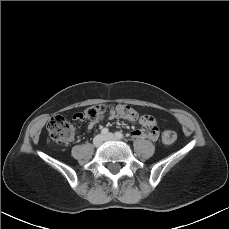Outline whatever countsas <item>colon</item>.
Here are the masks:
<instances>
[{
  "label": "colon",
  "instance_id": "1",
  "mask_svg": "<svg viewBox=\"0 0 229 229\" xmlns=\"http://www.w3.org/2000/svg\"><path fill=\"white\" fill-rule=\"evenodd\" d=\"M114 109L120 116L128 119H138V111L127 104H118L114 107L106 105H92L76 114L78 120L98 121L102 115ZM49 140L54 144H63L68 142L74 135L75 127L63 115L57 114L50 118L47 124ZM177 140L176 132L167 130L162 135V141L165 145H173Z\"/></svg>",
  "mask_w": 229,
  "mask_h": 229
}]
</instances>
